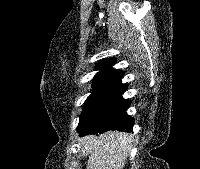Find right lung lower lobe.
<instances>
[{
  "mask_svg": "<svg viewBox=\"0 0 200 169\" xmlns=\"http://www.w3.org/2000/svg\"><path fill=\"white\" fill-rule=\"evenodd\" d=\"M126 84L115 85L110 98L78 129L80 136L109 130L132 131L134 119L127 115L130 101L122 97Z\"/></svg>",
  "mask_w": 200,
  "mask_h": 169,
  "instance_id": "1",
  "label": "right lung lower lobe"
}]
</instances>
